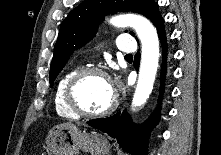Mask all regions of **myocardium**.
<instances>
[{
	"instance_id": "obj_1",
	"label": "myocardium",
	"mask_w": 221,
	"mask_h": 155,
	"mask_svg": "<svg viewBox=\"0 0 221 155\" xmlns=\"http://www.w3.org/2000/svg\"><path fill=\"white\" fill-rule=\"evenodd\" d=\"M90 75H101L109 79L106 71L99 67H85L73 74L64 90V101L67 107L78 116L87 118H100L111 114L118 106V94L114 91V97L110 105L99 112H89L83 109L76 100L75 92L79 83Z\"/></svg>"
}]
</instances>
